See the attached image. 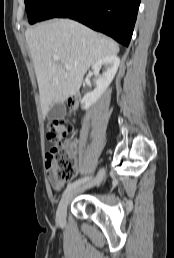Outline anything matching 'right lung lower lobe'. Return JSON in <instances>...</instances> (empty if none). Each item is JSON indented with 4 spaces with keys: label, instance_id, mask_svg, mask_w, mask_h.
I'll list each match as a JSON object with an SVG mask.
<instances>
[{
    "label": "right lung lower lobe",
    "instance_id": "98d812e1",
    "mask_svg": "<svg viewBox=\"0 0 174 258\" xmlns=\"http://www.w3.org/2000/svg\"><path fill=\"white\" fill-rule=\"evenodd\" d=\"M141 0H53L41 21L71 18L129 45Z\"/></svg>",
    "mask_w": 174,
    "mask_h": 258
}]
</instances>
